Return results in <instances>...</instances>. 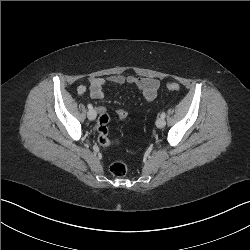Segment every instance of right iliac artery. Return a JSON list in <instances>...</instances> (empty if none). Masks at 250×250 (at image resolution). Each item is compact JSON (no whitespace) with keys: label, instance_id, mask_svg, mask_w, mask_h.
I'll return each instance as SVG.
<instances>
[{"label":"right iliac artery","instance_id":"82829eb1","mask_svg":"<svg viewBox=\"0 0 250 250\" xmlns=\"http://www.w3.org/2000/svg\"><path fill=\"white\" fill-rule=\"evenodd\" d=\"M87 107H88V109H89V110L93 109V107H92V105H91V104H88V106H87Z\"/></svg>","mask_w":250,"mask_h":250}]
</instances>
